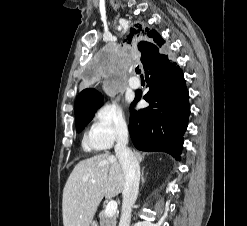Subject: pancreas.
Listing matches in <instances>:
<instances>
[{
	"label": "pancreas",
	"mask_w": 247,
	"mask_h": 226,
	"mask_svg": "<svg viewBox=\"0 0 247 226\" xmlns=\"http://www.w3.org/2000/svg\"><path fill=\"white\" fill-rule=\"evenodd\" d=\"M117 218L118 214L115 213L113 216H107L103 210L99 213L100 226H116Z\"/></svg>",
	"instance_id": "cf45deb5"
}]
</instances>
